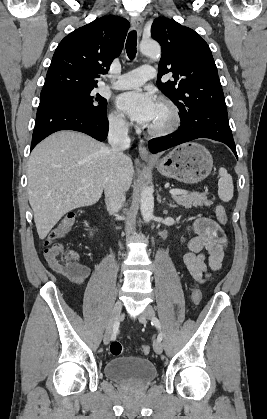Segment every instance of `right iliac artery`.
I'll list each match as a JSON object with an SVG mask.
<instances>
[{
    "mask_svg": "<svg viewBox=\"0 0 267 419\" xmlns=\"http://www.w3.org/2000/svg\"><path fill=\"white\" fill-rule=\"evenodd\" d=\"M118 330H119V323H118V322H116V323L114 324V326H113V333H112V335H111V340L116 339L117 334H118Z\"/></svg>",
    "mask_w": 267,
    "mask_h": 419,
    "instance_id": "obj_1",
    "label": "right iliac artery"
}]
</instances>
